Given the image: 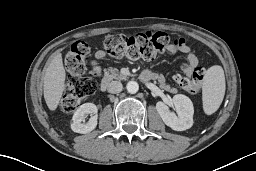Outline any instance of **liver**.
Segmentation results:
<instances>
[{
    "instance_id": "liver-1",
    "label": "liver",
    "mask_w": 256,
    "mask_h": 171,
    "mask_svg": "<svg viewBox=\"0 0 256 171\" xmlns=\"http://www.w3.org/2000/svg\"><path fill=\"white\" fill-rule=\"evenodd\" d=\"M65 77L62 55L57 53L46 68L43 82L44 98L51 111L56 110L59 105L64 91Z\"/></svg>"
}]
</instances>
